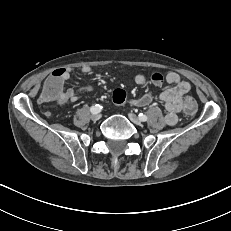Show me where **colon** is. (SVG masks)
I'll return each mask as SVG.
<instances>
[{
	"mask_svg": "<svg viewBox=\"0 0 231 231\" xmlns=\"http://www.w3.org/2000/svg\"><path fill=\"white\" fill-rule=\"evenodd\" d=\"M64 77V72L61 69L54 70L44 81L41 86V91L38 95V100L41 103L56 101L60 94L59 82ZM113 100L117 104H122L126 100V94L121 89H116L113 92ZM180 106L183 110V114L186 117H192L197 112V101L192 95L183 94L180 97Z\"/></svg>",
	"mask_w": 231,
	"mask_h": 231,
	"instance_id": "obj_1",
	"label": "colon"
}]
</instances>
